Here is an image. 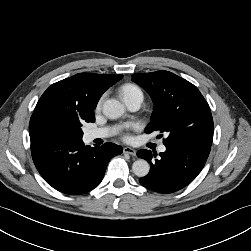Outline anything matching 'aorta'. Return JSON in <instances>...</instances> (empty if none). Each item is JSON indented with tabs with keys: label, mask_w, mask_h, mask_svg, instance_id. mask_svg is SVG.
<instances>
[{
	"label": "aorta",
	"mask_w": 251,
	"mask_h": 251,
	"mask_svg": "<svg viewBox=\"0 0 251 251\" xmlns=\"http://www.w3.org/2000/svg\"><path fill=\"white\" fill-rule=\"evenodd\" d=\"M124 111L123 104L116 99H108L103 103V114L110 119L121 117ZM149 170V163L143 159L136 160L132 165V171L138 177H145Z\"/></svg>",
	"instance_id": "762f6f07"
}]
</instances>
